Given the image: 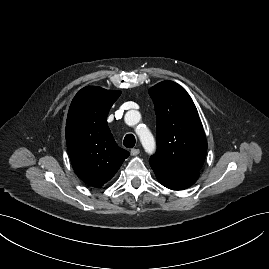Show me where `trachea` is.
I'll use <instances>...</instances> for the list:
<instances>
[{
	"label": "trachea",
	"mask_w": 269,
	"mask_h": 269,
	"mask_svg": "<svg viewBox=\"0 0 269 269\" xmlns=\"http://www.w3.org/2000/svg\"><path fill=\"white\" fill-rule=\"evenodd\" d=\"M135 137L133 134H127L124 138L123 144L127 148H132L135 146Z\"/></svg>",
	"instance_id": "trachea-1"
}]
</instances>
